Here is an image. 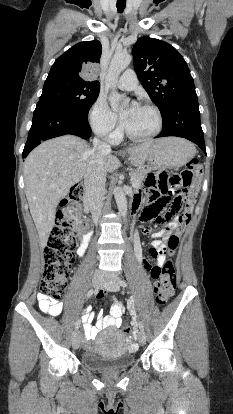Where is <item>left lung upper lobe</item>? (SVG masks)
<instances>
[{"label": "left lung upper lobe", "instance_id": "left-lung-upper-lobe-1", "mask_svg": "<svg viewBox=\"0 0 233 414\" xmlns=\"http://www.w3.org/2000/svg\"><path fill=\"white\" fill-rule=\"evenodd\" d=\"M132 51L137 76L162 117L177 101L197 97L187 63L173 46L142 37Z\"/></svg>", "mask_w": 233, "mask_h": 414}]
</instances>
